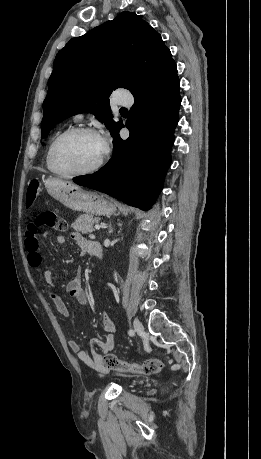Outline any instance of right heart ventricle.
<instances>
[{
	"mask_svg": "<svg viewBox=\"0 0 261 459\" xmlns=\"http://www.w3.org/2000/svg\"><path fill=\"white\" fill-rule=\"evenodd\" d=\"M55 138H56V136H55V137L52 139V141L50 142V144H49V146H48V148H47V152H46V166H47V168H48L49 170H50L49 164H48L49 150H50V146H51V144H52V142H53V140H54ZM50 171H51V170H50Z\"/></svg>",
	"mask_w": 261,
	"mask_h": 459,
	"instance_id": "e07e8e85",
	"label": "right heart ventricle"
}]
</instances>
